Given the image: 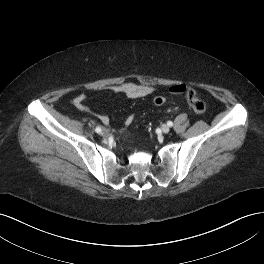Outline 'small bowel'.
I'll list each match as a JSON object with an SVG mask.
<instances>
[{
    "label": "small bowel",
    "instance_id": "small-bowel-1",
    "mask_svg": "<svg viewBox=\"0 0 264 264\" xmlns=\"http://www.w3.org/2000/svg\"><path fill=\"white\" fill-rule=\"evenodd\" d=\"M105 89L113 93L123 95L124 97L129 98V99L146 97V96L151 95L155 91V88L151 85L136 84L133 82H125L120 85L108 86ZM186 89L187 87L183 84H175L169 88V91L172 94L178 95V94H183L186 91ZM86 99L87 98L85 94H79L73 100L74 107L81 111L93 113L102 123L107 124L109 122V117L106 114L93 112L87 106ZM131 121H132V118L129 117L125 121V125L130 124Z\"/></svg>",
    "mask_w": 264,
    "mask_h": 264
}]
</instances>
